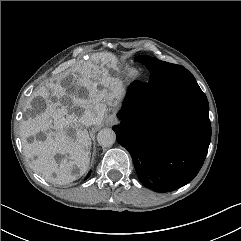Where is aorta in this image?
<instances>
[{"label": "aorta", "mask_w": 241, "mask_h": 241, "mask_svg": "<svg viewBox=\"0 0 241 241\" xmlns=\"http://www.w3.org/2000/svg\"><path fill=\"white\" fill-rule=\"evenodd\" d=\"M97 141L102 147H110L116 141V134L110 128H104L98 132Z\"/></svg>", "instance_id": "1"}]
</instances>
